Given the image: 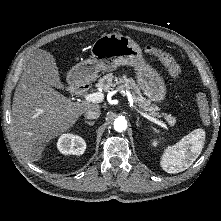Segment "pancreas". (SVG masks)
Returning <instances> with one entry per match:
<instances>
[{
  "mask_svg": "<svg viewBox=\"0 0 221 221\" xmlns=\"http://www.w3.org/2000/svg\"><path fill=\"white\" fill-rule=\"evenodd\" d=\"M96 86L103 89L105 92L112 90L116 86H118L121 89L129 90L132 93L133 101L137 103L141 110L148 112L149 115H151L152 117L161 116L158 112H156L159 108L157 106H151L150 100H147L142 95L139 86L135 83V81L131 78H127L126 75L114 78L112 73L106 74L105 76L99 79ZM164 116L170 124L175 123V117L167 114H165Z\"/></svg>",
  "mask_w": 221,
  "mask_h": 221,
  "instance_id": "1",
  "label": "pancreas"
}]
</instances>
